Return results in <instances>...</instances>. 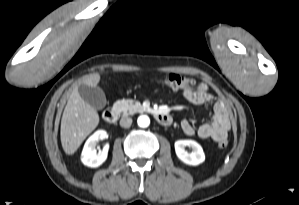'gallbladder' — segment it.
I'll return each instance as SVG.
<instances>
[{"mask_svg":"<svg viewBox=\"0 0 299 205\" xmlns=\"http://www.w3.org/2000/svg\"><path fill=\"white\" fill-rule=\"evenodd\" d=\"M78 92L82 99L93 108L101 110L106 106V96L100 87H91L82 83L78 86Z\"/></svg>","mask_w":299,"mask_h":205,"instance_id":"bac80fb5","label":"gallbladder"}]
</instances>
